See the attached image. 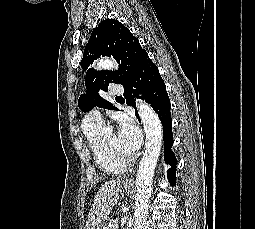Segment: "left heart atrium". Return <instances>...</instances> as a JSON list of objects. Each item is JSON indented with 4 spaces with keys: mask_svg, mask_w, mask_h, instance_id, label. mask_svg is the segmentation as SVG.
<instances>
[{
    "mask_svg": "<svg viewBox=\"0 0 255 229\" xmlns=\"http://www.w3.org/2000/svg\"><path fill=\"white\" fill-rule=\"evenodd\" d=\"M117 138L121 148L130 156L134 155L141 143L138 127L128 119H121L118 125Z\"/></svg>",
    "mask_w": 255,
    "mask_h": 229,
    "instance_id": "1",
    "label": "left heart atrium"
}]
</instances>
